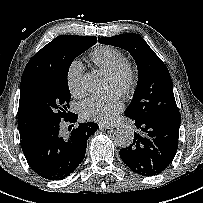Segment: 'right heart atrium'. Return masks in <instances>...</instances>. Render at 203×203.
Returning <instances> with one entry per match:
<instances>
[{"mask_svg":"<svg viewBox=\"0 0 203 203\" xmlns=\"http://www.w3.org/2000/svg\"><path fill=\"white\" fill-rule=\"evenodd\" d=\"M84 67L79 60H73L67 69V86L72 95H79L82 92V77Z\"/></svg>","mask_w":203,"mask_h":203,"instance_id":"d8ad5b80","label":"right heart atrium"}]
</instances>
